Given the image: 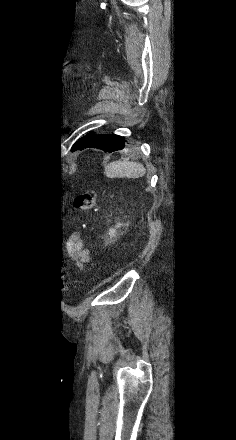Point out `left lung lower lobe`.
I'll return each mask as SVG.
<instances>
[{
  "label": "left lung lower lobe",
  "mask_w": 236,
  "mask_h": 440,
  "mask_svg": "<svg viewBox=\"0 0 236 440\" xmlns=\"http://www.w3.org/2000/svg\"><path fill=\"white\" fill-rule=\"evenodd\" d=\"M125 139L119 135H94L88 134L87 136L79 139L72 147V151L83 150L84 148H98L105 152H114L124 148Z\"/></svg>",
  "instance_id": "obj_1"
}]
</instances>
